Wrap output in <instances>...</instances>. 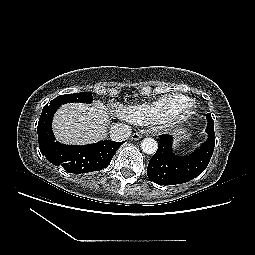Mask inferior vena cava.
<instances>
[{
    "label": "inferior vena cava",
    "mask_w": 255,
    "mask_h": 255,
    "mask_svg": "<svg viewBox=\"0 0 255 255\" xmlns=\"http://www.w3.org/2000/svg\"><path fill=\"white\" fill-rule=\"evenodd\" d=\"M110 138L113 141L121 142L127 140L131 135V127L122 124V123H115L110 127Z\"/></svg>",
    "instance_id": "602c4592"
}]
</instances>
